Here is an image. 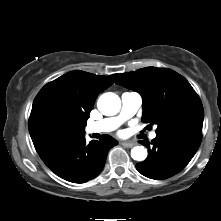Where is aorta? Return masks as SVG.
I'll return each instance as SVG.
<instances>
[{"instance_id": "762f6f07", "label": "aorta", "mask_w": 221, "mask_h": 221, "mask_svg": "<svg viewBox=\"0 0 221 221\" xmlns=\"http://www.w3.org/2000/svg\"><path fill=\"white\" fill-rule=\"evenodd\" d=\"M99 111L106 116H112L119 112L121 100L118 95L107 92L102 94L97 102ZM131 157L136 161H144L147 157V150L143 146H135L131 149Z\"/></svg>"}]
</instances>
